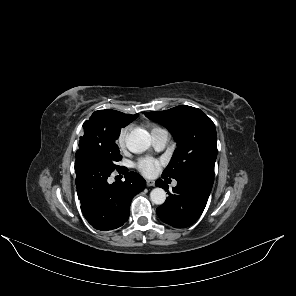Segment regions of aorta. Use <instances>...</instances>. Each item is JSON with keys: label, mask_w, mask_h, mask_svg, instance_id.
I'll list each match as a JSON object with an SVG mask.
<instances>
[{"label": "aorta", "mask_w": 296, "mask_h": 296, "mask_svg": "<svg viewBox=\"0 0 296 296\" xmlns=\"http://www.w3.org/2000/svg\"><path fill=\"white\" fill-rule=\"evenodd\" d=\"M151 145L149 136L141 130H133L126 136V147L132 153H143ZM150 199L156 205H162L166 200L164 189L156 187L150 192Z\"/></svg>", "instance_id": "obj_1"}]
</instances>
